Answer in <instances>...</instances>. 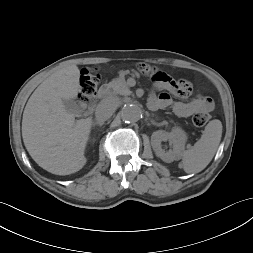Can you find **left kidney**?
Here are the masks:
<instances>
[{
	"label": "left kidney",
	"mask_w": 253,
	"mask_h": 253,
	"mask_svg": "<svg viewBox=\"0 0 253 253\" xmlns=\"http://www.w3.org/2000/svg\"><path fill=\"white\" fill-rule=\"evenodd\" d=\"M186 140V133L178 127L173 128L169 133L163 130H158L153 132L151 136V143L156 156L167 163H171L174 160H179L181 158ZM162 141H169L171 145L169 151L162 149Z\"/></svg>",
	"instance_id": "left-kidney-1"
}]
</instances>
